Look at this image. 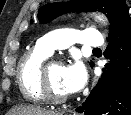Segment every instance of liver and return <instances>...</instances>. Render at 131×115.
I'll use <instances>...</instances> for the list:
<instances>
[{"instance_id": "1", "label": "liver", "mask_w": 131, "mask_h": 115, "mask_svg": "<svg viewBox=\"0 0 131 115\" xmlns=\"http://www.w3.org/2000/svg\"><path fill=\"white\" fill-rule=\"evenodd\" d=\"M10 114L14 115H57L55 112L43 110L34 106H18Z\"/></svg>"}]
</instances>
